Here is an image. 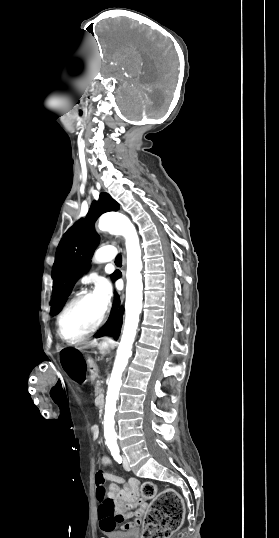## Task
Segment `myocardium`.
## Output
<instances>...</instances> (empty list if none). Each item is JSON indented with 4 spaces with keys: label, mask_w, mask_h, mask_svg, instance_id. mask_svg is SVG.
Returning a JSON list of instances; mask_svg holds the SVG:
<instances>
[{
    "label": "myocardium",
    "mask_w": 279,
    "mask_h": 538,
    "mask_svg": "<svg viewBox=\"0 0 279 538\" xmlns=\"http://www.w3.org/2000/svg\"><path fill=\"white\" fill-rule=\"evenodd\" d=\"M96 230L97 232L99 233H103L105 231L104 227L99 225V224H96ZM92 295H95V291L93 290H83L82 292H80L79 294H77L75 297H73L66 305L65 307L62 309V311L60 312V314L58 315L57 317V321H56V326H57V333L59 335V337L61 338V340L69 345H75V344H78L82 341H84L85 339H87L88 337L92 336L94 333H96L99 328L101 327V325L103 324L104 320H105V317H106V312H107V309H103L99 318L97 319L95 325L90 329L88 330L86 333H84L83 335H81L80 337H78L77 339L73 340V341H69L67 340L64 336H63V333H62V320H63V317L65 316V314L67 313V311L74 305L76 304L77 302H79L80 300L82 299H85L87 297H90Z\"/></svg>",
    "instance_id": "obj_1"
}]
</instances>
